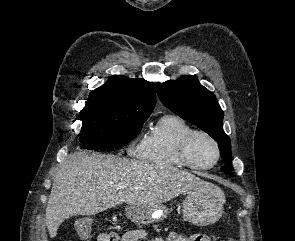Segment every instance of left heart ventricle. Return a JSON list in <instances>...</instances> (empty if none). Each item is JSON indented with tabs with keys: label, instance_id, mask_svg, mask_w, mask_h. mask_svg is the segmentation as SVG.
Segmentation results:
<instances>
[{
	"label": "left heart ventricle",
	"instance_id": "1",
	"mask_svg": "<svg viewBox=\"0 0 295 241\" xmlns=\"http://www.w3.org/2000/svg\"><path fill=\"white\" fill-rule=\"evenodd\" d=\"M189 155L195 164L209 166L216 159V150L206 137L199 135L191 142Z\"/></svg>",
	"mask_w": 295,
	"mask_h": 241
}]
</instances>
